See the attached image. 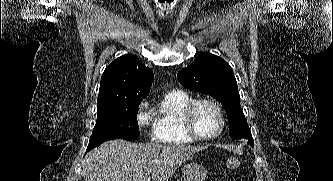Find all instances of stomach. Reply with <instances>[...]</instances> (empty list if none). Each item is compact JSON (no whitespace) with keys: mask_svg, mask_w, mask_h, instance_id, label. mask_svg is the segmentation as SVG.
<instances>
[{"mask_svg":"<svg viewBox=\"0 0 333 181\" xmlns=\"http://www.w3.org/2000/svg\"><path fill=\"white\" fill-rule=\"evenodd\" d=\"M182 173L185 181H205L207 177L205 167L195 162L185 164Z\"/></svg>","mask_w":333,"mask_h":181,"instance_id":"obj_1","label":"stomach"}]
</instances>
